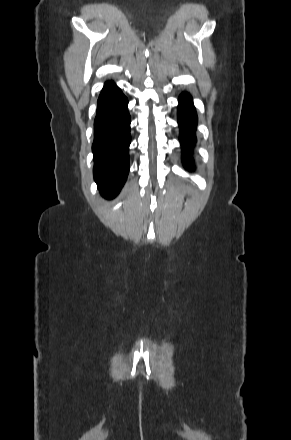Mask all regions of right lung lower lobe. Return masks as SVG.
Segmentation results:
<instances>
[{"label": "right lung lower lobe", "mask_w": 291, "mask_h": 440, "mask_svg": "<svg viewBox=\"0 0 291 440\" xmlns=\"http://www.w3.org/2000/svg\"><path fill=\"white\" fill-rule=\"evenodd\" d=\"M128 101L111 81L104 85L94 120V179L100 193L115 197L129 171L130 115Z\"/></svg>", "instance_id": "obj_1"}]
</instances>
